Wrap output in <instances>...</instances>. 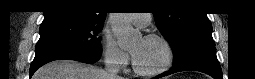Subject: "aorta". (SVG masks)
Masks as SVG:
<instances>
[{
	"mask_svg": "<svg viewBox=\"0 0 255 79\" xmlns=\"http://www.w3.org/2000/svg\"><path fill=\"white\" fill-rule=\"evenodd\" d=\"M112 30L117 37L119 46L126 47L138 40L140 32L135 30L125 19L124 13H114L112 21Z\"/></svg>",
	"mask_w": 255,
	"mask_h": 79,
	"instance_id": "obj_1",
	"label": "aorta"
}]
</instances>
